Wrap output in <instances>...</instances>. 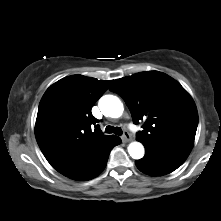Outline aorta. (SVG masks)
<instances>
[{"instance_id": "762f6f07", "label": "aorta", "mask_w": 221, "mask_h": 221, "mask_svg": "<svg viewBox=\"0 0 221 221\" xmlns=\"http://www.w3.org/2000/svg\"><path fill=\"white\" fill-rule=\"evenodd\" d=\"M101 112L108 117L118 118L124 111L123 103L113 95H104L99 100ZM128 153L133 159H141L144 156V147L140 142H132L128 146Z\"/></svg>"}]
</instances>
